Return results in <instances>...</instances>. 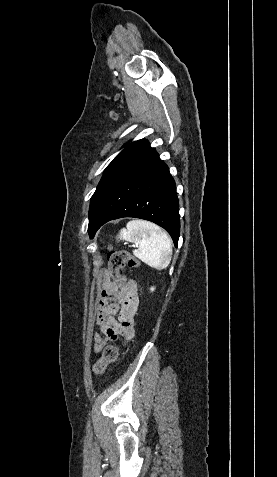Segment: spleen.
Returning a JSON list of instances; mask_svg holds the SVG:
<instances>
[{"label":"spleen","mask_w":277,"mask_h":477,"mask_svg":"<svg viewBox=\"0 0 277 477\" xmlns=\"http://www.w3.org/2000/svg\"><path fill=\"white\" fill-rule=\"evenodd\" d=\"M117 239L138 244L139 248L133 250V254L152 268L162 270L171 262V239L163 229L151 222L132 220L120 230Z\"/></svg>","instance_id":"1"}]
</instances>
